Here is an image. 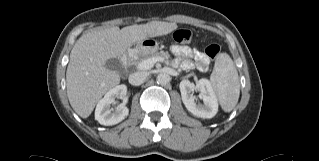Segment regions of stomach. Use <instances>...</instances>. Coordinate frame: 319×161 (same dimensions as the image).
<instances>
[{
  "instance_id": "0dacf381",
  "label": "stomach",
  "mask_w": 319,
  "mask_h": 161,
  "mask_svg": "<svg viewBox=\"0 0 319 161\" xmlns=\"http://www.w3.org/2000/svg\"><path fill=\"white\" fill-rule=\"evenodd\" d=\"M136 50L140 55L147 56L158 50V43L154 39L146 38L137 43Z\"/></svg>"
}]
</instances>
